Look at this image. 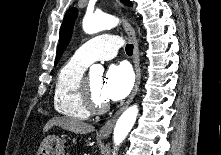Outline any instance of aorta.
Returning a JSON list of instances; mask_svg holds the SVG:
<instances>
[{"label":"aorta","mask_w":221,"mask_h":155,"mask_svg":"<svg viewBox=\"0 0 221 155\" xmlns=\"http://www.w3.org/2000/svg\"><path fill=\"white\" fill-rule=\"evenodd\" d=\"M118 20L107 14H94L85 16L83 19V30L87 34H95L103 30H109L115 27ZM138 115V106L132 105L128 107L118 118L114 132L113 141L115 147L120 145L126 138L133 125L135 124Z\"/></svg>","instance_id":"1"}]
</instances>
